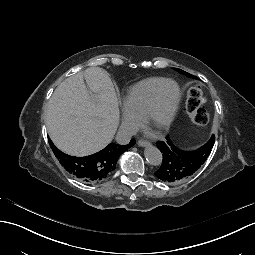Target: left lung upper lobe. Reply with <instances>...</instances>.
I'll use <instances>...</instances> for the list:
<instances>
[{
    "label": "left lung upper lobe",
    "instance_id": "left-lung-upper-lobe-1",
    "mask_svg": "<svg viewBox=\"0 0 255 255\" xmlns=\"http://www.w3.org/2000/svg\"><path fill=\"white\" fill-rule=\"evenodd\" d=\"M175 69H176V68H175ZM176 70L179 71L180 73H182V74L188 76V77H193V78H195V77L192 76L191 74H189V73H187V72H185V71H183V70H181V69H176ZM167 139H169V137H167ZM211 139L215 140V136L212 135ZM160 142H161V141L157 142V147H158V149H159V144H160ZM206 148H207V146H206V144H205L204 147H203V149H206ZM185 153L187 154L188 152H185ZM164 159H165V157H164V155H163V161H164ZM162 163H163V162H162ZM161 166H162V164H161ZM196 171H197V170H196ZM196 171H195V172H196ZM155 176L159 179V177H158V171L155 173ZM184 180H186V179H182V180L176 181V182H166V183H178V182H182V181H184Z\"/></svg>",
    "mask_w": 255,
    "mask_h": 255
}]
</instances>
